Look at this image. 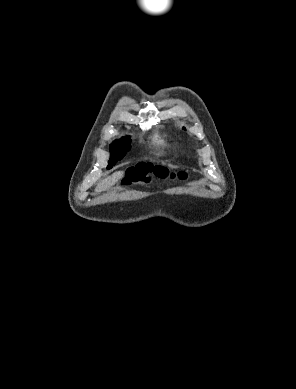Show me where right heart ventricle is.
<instances>
[{
	"mask_svg": "<svg viewBox=\"0 0 296 389\" xmlns=\"http://www.w3.org/2000/svg\"><path fill=\"white\" fill-rule=\"evenodd\" d=\"M153 144L158 148H164L166 146V142L160 136L153 137Z\"/></svg>",
	"mask_w": 296,
	"mask_h": 389,
	"instance_id": "obj_1",
	"label": "right heart ventricle"
}]
</instances>
